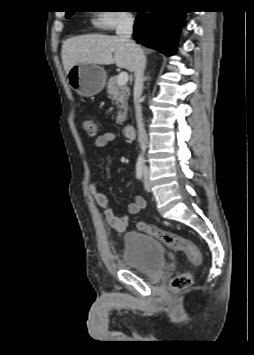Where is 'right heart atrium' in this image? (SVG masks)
<instances>
[{
  "label": "right heart atrium",
  "mask_w": 254,
  "mask_h": 355,
  "mask_svg": "<svg viewBox=\"0 0 254 355\" xmlns=\"http://www.w3.org/2000/svg\"><path fill=\"white\" fill-rule=\"evenodd\" d=\"M93 23L101 30L112 31L118 27L130 26L133 23V17L127 11L102 10L95 15Z\"/></svg>",
  "instance_id": "right-heart-atrium-1"
}]
</instances>
